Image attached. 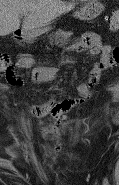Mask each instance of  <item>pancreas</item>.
<instances>
[{
	"label": "pancreas",
	"mask_w": 119,
	"mask_h": 185,
	"mask_svg": "<svg viewBox=\"0 0 119 185\" xmlns=\"http://www.w3.org/2000/svg\"><path fill=\"white\" fill-rule=\"evenodd\" d=\"M70 35V33L57 31L52 36H50V42L57 46H63L69 41Z\"/></svg>",
	"instance_id": "pancreas-1"
}]
</instances>
